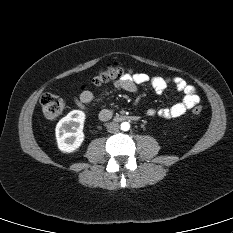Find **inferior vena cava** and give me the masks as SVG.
Returning a JSON list of instances; mask_svg holds the SVG:
<instances>
[{
  "label": "inferior vena cava",
  "mask_w": 233,
  "mask_h": 233,
  "mask_svg": "<svg viewBox=\"0 0 233 233\" xmlns=\"http://www.w3.org/2000/svg\"><path fill=\"white\" fill-rule=\"evenodd\" d=\"M119 128H120V126L116 122H110L107 124V131L110 133H114V132L119 131Z\"/></svg>",
  "instance_id": "obj_1"
}]
</instances>
